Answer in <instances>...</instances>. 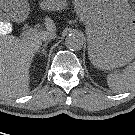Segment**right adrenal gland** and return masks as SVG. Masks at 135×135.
Masks as SVG:
<instances>
[{
	"label": "right adrenal gland",
	"instance_id": "1",
	"mask_svg": "<svg viewBox=\"0 0 135 135\" xmlns=\"http://www.w3.org/2000/svg\"><path fill=\"white\" fill-rule=\"evenodd\" d=\"M48 42L49 41H46L44 44H43V46L41 47V52H43V55H47V52H46V47H47V45H48Z\"/></svg>",
	"mask_w": 135,
	"mask_h": 135
}]
</instances>
